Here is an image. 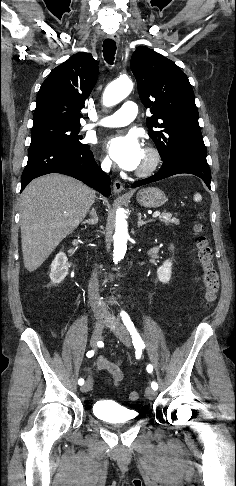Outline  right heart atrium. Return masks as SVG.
Segmentation results:
<instances>
[{"label":"right heart atrium","mask_w":236,"mask_h":486,"mask_svg":"<svg viewBox=\"0 0 236 486\" xmlns=\"http://www.w3.org/2000/svg\"><path fill=\"white\" fill-rule=\"evenodd\" d=\"M100 167L104 171H108L111 168V162L108 158H103L100 161Z\"/></svg>","instance_id":"1"}]
</instances>
